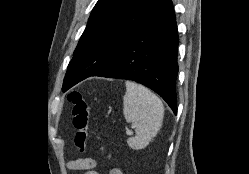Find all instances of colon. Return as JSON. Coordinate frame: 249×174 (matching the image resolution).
I'll return each instance as SVG.
<instances>
[{
  "label": "colon",
  "instance_id": "5ec220e1",
  "mask_svg": "<svg viewBox=\"0 0 249 174\" xmlns=\"http://www.w3.org/2000/svg\"><path fill=\"white\" fill-rule=\"evenodd\" d=\"M73 105L72 116L75 134L73 142L80 152H85L90 131V113L85 97L80 92H72L68 96Z\"/></svg>",
  "mask_w": 249,
  "mask_h": 174
}]
</instances>
